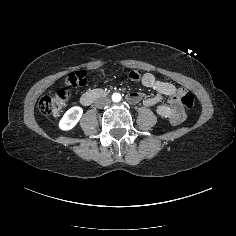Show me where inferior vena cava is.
<instances>
[{"label": "inferior vena cava", "mask_w": 236, "mask_h": 236, "mask_svg": "<svg viewBox=\"0 0 236 236\" xmlns=\"http://www.w3.org/2000/svg\"><path fill=\"white\" fill-rule=\"evenodd\" d=\"M111 104V100L108 97H102L95 101V107L103 108Z\"/></svg>", "instance_id": "obj_1"}]
</instances>
